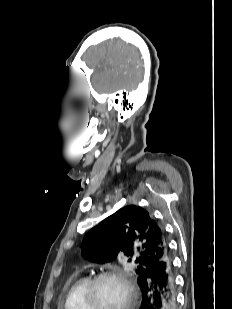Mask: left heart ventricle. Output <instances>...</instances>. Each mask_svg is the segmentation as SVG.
<instances>
[{
	"mask_svg": "<svg viewBox=\"0 0 232 309\" xmlns=\"http://www.w3.org/2000/svg\"><path fill=\"white\" fill-rule=\"evenodd\" d=\"M98 309H121L125 302V288L116 279L102 280L96 290Z\"/></svg>",
	"mask_w": 232,
	"mask_h": 309,
	"instance_id": "1",
	"label": "left heart ventricle"
}]
</instances>
